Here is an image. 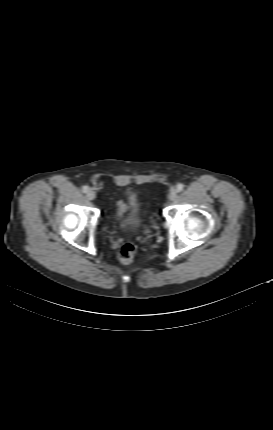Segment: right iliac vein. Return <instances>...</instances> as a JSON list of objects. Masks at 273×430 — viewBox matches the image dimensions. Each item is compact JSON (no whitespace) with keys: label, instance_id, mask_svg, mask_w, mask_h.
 Wrapping results in <instances>:
<instances>
[{"label":"right iliac vein","instance_id":"obj_1","mask_svg":"<svg viewBox=\"0 0 273 430\" xmlns=\"http://www.w3.org/2000/svg\"><path fill=\"white\" fill-rule=\"evenodd\" d=\"M86 196H87V198H88L89 200H93V199H95V197H96L95 192H94V191H92V190H89V191L87 192Z\"/></svg>","mask_w":273,"mask_h":430}]
</instances>
